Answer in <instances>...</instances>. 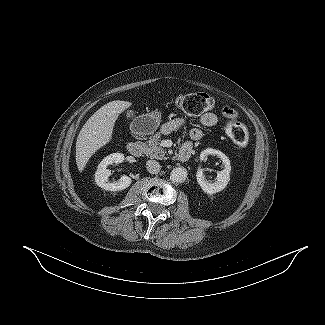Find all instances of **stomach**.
<instances>
[{"mask_svg": "<svg viewBox=\"0 0 325 325\" xmlns=\"http://www.w3.org/2000/svg\"><path fill=\"white\" fill-rule=\"evenodd\" d=\"M160 122L161 114L154 111L137 117L131 125V130L138 135H150L157 130Z\"/></svg>", "mask_w": 325, "mask_h": 325, "instance_id": "stomach-1", "label": "stomach"}]
</instances>
